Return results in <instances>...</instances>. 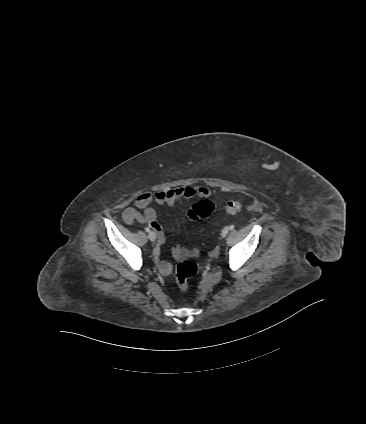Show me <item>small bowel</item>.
Segmentation results:
<instances>
[{
  "label": "small bowel",
  "mask_w": 366,
  "mask_h": 424,
  "mask_svg": "<svg viewBox=\"0 0 366 424\" xmlns=\"http://www.w3.org/2000/svg\"><path fill=\"white\" fill-rule=\"evenodd\" d=\"M211 195V190L206 186H183L174 189H163L155 193H142L138 195L123 212V220L126 224L139 223L149 225L158 237L157 246L154 249L155 258H159L161 247L165 243V235L162 227L156 222V210L150 206L152 202L158 205L172 206L179 200H188L192 198H207ZM175 253L179 254L181 249L175 247ZM160 270L167 274L171 270V265L162 261L159 263Z\"/></svg>",
  "instance_id": "obj_1"
}]
</instances>
